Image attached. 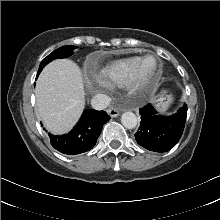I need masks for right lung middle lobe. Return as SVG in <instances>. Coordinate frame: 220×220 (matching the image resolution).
Listing matches in <instances>:
<instances>
[{
    "label": "right lung middle lobe",
    "mask_w": 220,
    "mask_h": 220,
    "mask_svg": "<svg viewBox=\"0 0 220 220\" xmlns=\"http://www.w3.org/2000/svg\"><path fill=\"white\" fill-rule=\"evenodd\" d=\"M76 48L75 46H64L59 49H56L51 54H49L47 57H45L40 66H39V72L44 68L45 65H47L49 62H51L53 59L56 58H65L71 55L72 49Z\"/></svg>",
    "instance_id": "right-lung-middle-lobe-1"
}]
</instances>
